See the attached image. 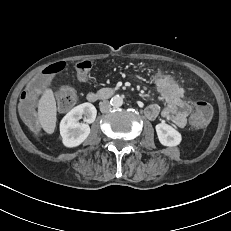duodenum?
Masks as SVG:
<instances>
[{
    "mask_svg": "<svg viewBox=\"0 0 231 231\" xmlns=\"http://www.w3.org/2000/svg\"><path fill=\"white\" fill-rule=\"evenodd\" d=\"M115 93V89L113 88H102L95 92H90L87 94V100L91 103L105 100L113 96Z\"/></svg>",
    "mask_w": 231,
    "mask_h": 231,
    "instance_id": "410a0bca",
    "label": "duodenum"
}]
</instances>
